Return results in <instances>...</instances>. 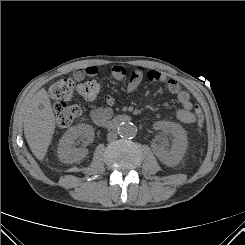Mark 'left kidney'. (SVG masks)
Returning a JSON list of instances; mask_svg holds the SVG:
<instances>
[{
	"label": "left kidney",
	"mask_w": 245,
	"mask_h": 245,
	"mask_svg": "<svg viewBox=\"0 0 245 245\" xmlns=\"http://www.w3.org/2000/svg\"><path fill=\"white\" fill-rule=\"evenodd\" d=\"M159 127L173 136L172 146L166 150L163 146L156 147V156L167 165L177 164L187 149V136L185 130L179 124L172 122H160Z\"/></svg>",
	"instance_id": "obj_1"
}]
</instances>
